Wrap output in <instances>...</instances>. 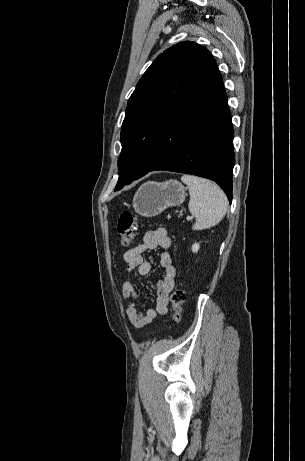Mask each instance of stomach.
<instances>
[{
	"mask_svg": "<svg viewBox=\"0 0 305 461\" xmlns=\"http://www.w3.org/2000/svg\"><path fill=\"white\" fill-rule=\"evenodd\" d=\"M186 189L177 180L148 181L140 186L133 198V208L144 217H154L168 207L182 204Z\"/></svg>",
	"mask_w": 305,
	"mask_h": 461,
	"instance_id": "stomach-1",
	"label": "stomach"
}]
</instances>
